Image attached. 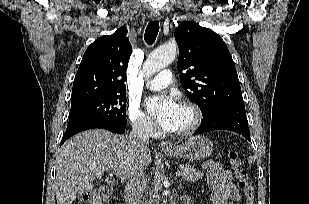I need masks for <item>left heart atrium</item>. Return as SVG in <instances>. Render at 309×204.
<instances>
[{
  "mask_svg": "<svg viewBox=\"0 0 309 204\" xmlns=\"http://www.w3.org/2000/svg\"><path fill=\"white\" fill-rule=\"evenodd\" d=\"M148 112L156 119L157 123L166 130H173L180 105L169 96H152L146 100Z\"/></svg>",
  "mask_w": 309,
  "mask_h": 204,
  "instance_id": "obj_1",
  "label": "left heart atrium"
}]
</instances>
